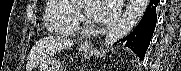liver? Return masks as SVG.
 I'll use <instances>...</instances> for the list:
<instances>
[{
	"instance_id": "1",
	"label": "liver",
	"mask_w": 181,
	"mask_h": 71,
	"mask_svg": "<svg viewBox=\"0 0 181 71\" xmlns=\"http://www.w3.org/2000/svg\"><path fill=\"white\" fill-rule=\"evenodd\" d=\"M74 45L73 41L61 38V37H46L39 41L32 49L29 57L26 69L32 70L36 64L42 61L50 54H54L66 48H70Z\"/></svg>"
}]
</instances>
